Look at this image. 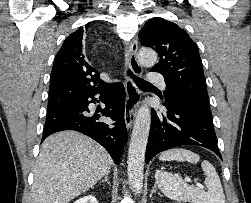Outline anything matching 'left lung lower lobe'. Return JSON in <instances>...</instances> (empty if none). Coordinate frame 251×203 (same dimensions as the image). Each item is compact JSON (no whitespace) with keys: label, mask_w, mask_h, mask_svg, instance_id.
<instances>
[{"label":"left lung lower lobe","mask_w":251,"mask_h":203,"mask_svg":"<svg viewBox=\"0 0 251 203\" xmlns=\"http://www.w3.org/2000/svg\"><path fill=\"white\" fill-rule=\"evenodd\" d=\"M163 105L166 113L152 112L146 163L156 154L181 145L202 146L221 157L210 108L185 96L164 100Z\"/></svg>","instance_id":"0a47b994"}]
</instances>
